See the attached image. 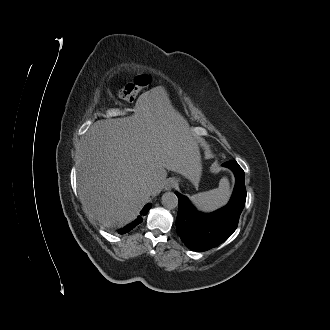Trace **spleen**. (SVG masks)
Here are the masks:
<instances>
[{"instance_id": "spleen-1", "label": "spleen", "mask_w": 330, "mask_h": 330, "mask_svg": "<svg viewBox=\"0 0 330 330\" xmlns=\"http://www.w3.org/2000/svg\"><path fill=\"white\" fill-rule=\"evenodd\" d=\"M230 198V184L226 177L219 182V187L191 196L192 203L201 211L210 212L224 206Z\"/></svg>"}]
</instances>
